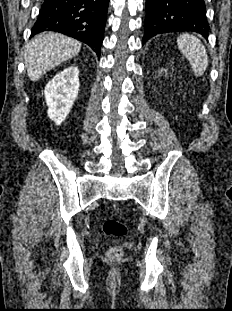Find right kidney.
<instances>
[{
  "mask_svg": "<svg viewBox=\"0 0 232 311\" xmlns=\"http://www.w3.org/2000/svg\"><path fill=\"white\" fill-rule=\"evenodd\" d=\"M79 91V69L68 67L59 72L44 90L48 116L60 125L69 114Z\"/></svg>",
  "mask_w": 232,
  "mask_h": 311,
  "instance_id": "obj_1",
  "label": "right kidney"
}]
</instances>
